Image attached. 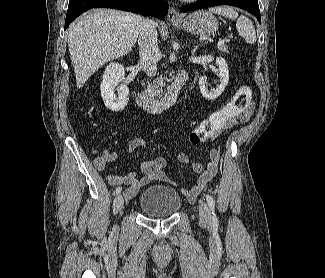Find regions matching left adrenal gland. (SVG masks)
<instances>
[{"label": "left adrenal gland", "instance_id": "a2214340", "mask_svg": "<svg viewBox=\"0 0 325 278\" xmlns=\"http://www.w3.org/2000/svg\"><path fill=\"white\" fill-rule=\"evenodd\" d=\"M199 45L195 46L194 49L192 50V55H195L197 49H198Z\"/></svg>", "mask_w": 325, "mask_h": 278}]
</instances>
